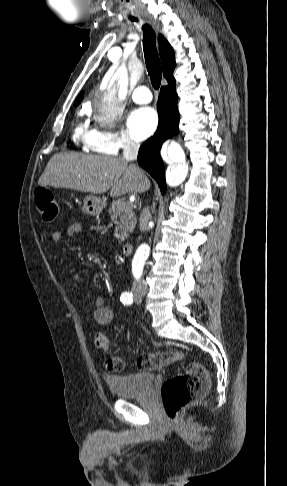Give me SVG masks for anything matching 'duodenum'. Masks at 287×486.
Wrapping results in <instances>:
<instances>
[{
    "mask_svg": "<svg viewBox=\"0 0 287 486\" xmlns=\"http://www.w3.org/2000/svg\"><path fill=\"white\" fill-rule=\"evenodd\" d=\"M132 250L133 244L131 242H126L121 248V252L124 256L131 254Z\"/></svg>",
    "mask_w": 287,
    "mask_h": 486,
    "instance_id": "obj_1",
    "label": "duodenum"
}]
</instances>
